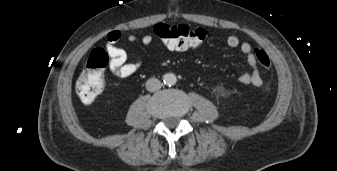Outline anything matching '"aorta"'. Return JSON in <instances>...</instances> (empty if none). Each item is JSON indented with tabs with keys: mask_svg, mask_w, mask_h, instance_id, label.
<instances>
[{
	"mask_svg": "<svg viewBox=\"0 0 337 171\" xmlns=\"http://www.w3.org/2000/svg\"><path fill=\"white\" fill-rule=\"evenodd\" d=\"M177 78L173 73H167L164 75V83L168 86L176 84Z\"/></svg>",
	"mask_w": 337,
	"mask_h": 171,
	"instance_id": "aorta-1",
	"label": "aorta"
}]
</instances>
